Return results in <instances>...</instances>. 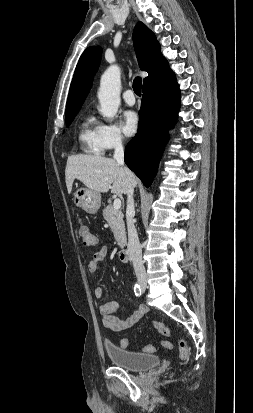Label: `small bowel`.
Listing matches in <instances>:
<instances>
[{
	"instance_id": "obj_1",
	"label": "small bowel",
	"mask_w": 253,
	"mask_h": 413,
	"mask_svg": "<svg viewBox=\"0 0 253 413\" xmlns=\"http://www.w3.org/2000/svg\"><path fill=\"white\" fill-rule=\"evenodd\" d=\"M107 248L106 247H101L93 256L92 260L89 263L88 269L90 273H95L101 262L104 261V259L107 256ZM103 296V290L101 287H97L95 289V297L97 299H101ZM118 305L116 302H107V303H102L99 305V312L102 315V322L103 325L106 329L111 330V331H124L132 326H134L136 323H138L141 318L147 313V307L144 305L139 306L135 312L128 318L126 319H119L115 317L113 314L117 311Z\"/></svg>"
}]
</instances>
